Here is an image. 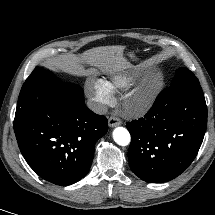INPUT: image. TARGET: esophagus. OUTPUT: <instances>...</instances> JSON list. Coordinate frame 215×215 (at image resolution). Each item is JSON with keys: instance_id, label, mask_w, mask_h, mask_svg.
<instances>
[{"instance_id": "obj_1", "label": "esophagus", "mask_w": 215, "mask_h": 215, "mask_svg": "<svg viewBox=\"0 0 215 215\" xmlns=\"http://www.w3.org/2000/svg\"><path fill=\"white\" fill-rule=\"evenodd\" d=\"M121 124H122V121L118 117H116V116H111L108 119V125L110 127L119 126Z\"/></svg>"}]
</instances>
